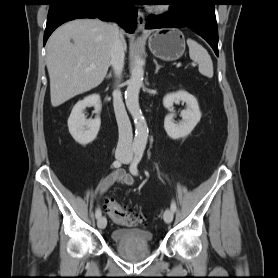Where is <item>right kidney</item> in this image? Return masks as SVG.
Returning a JSON list of instances; mask_svg holds the SVG:
<instances>
[{
    "label": "right kidney",
    "instance_id": "ca27d5eb",
    "mask_svg": "<svg viewBox=\"0 0 278 278\" xmlns=\"http://www.w3.org/2000/svg\"><path fill=\"white\" fill-rule=\"evenodd\" d=\"M89 105L95 108L97 113L95 119L87 120L83 114V110ZM100 111L101 100L98 94L85 97L73 107L68 119V128L71 136L77 143L87 145L96 138L101 125Z\"/></svg>",
    "mask_w": 278,
    "mask_h": 278
}]
</instances>
